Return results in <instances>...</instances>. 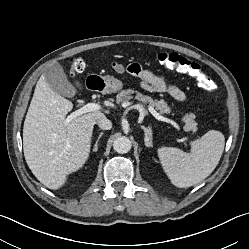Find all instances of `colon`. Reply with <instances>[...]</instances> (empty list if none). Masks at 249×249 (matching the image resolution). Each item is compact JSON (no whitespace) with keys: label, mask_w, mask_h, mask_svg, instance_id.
I'll list each match as a JSON object with an SVG mask.
<instances>
[{"label":"colon","mask_w":249,"mask_h":249,"mask_svg":"<svg viewBox=\"0 0 249 249\" xmlns=\"http://www.w3.org/2000/svg\"><path fill=\"white\" fill-rule=\"evenodd\" d=\"M158 62L167 68L175 69L180 73L187 74L194 78L199 86L206 91L214 89L212 78L204 73L201 67L181 55L172 52H161L157 55ZM86 67L85 61L80 57H72L70 59V70L73 75L84 71ZM114 68L124 70L126 67L122 64L114 63Z\"/></svg>","instance_id":"1"}]
</instances>
